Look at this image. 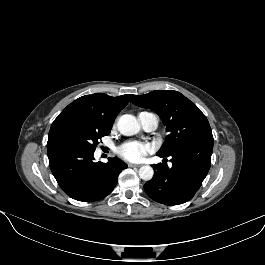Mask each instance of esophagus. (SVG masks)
<instances>
[{
  "label": "esophagus",
  "mask_w": 265,
  "mask_h": 265,
  "mask_svg": "<svg viewBox=\"0 0 265 265\" xmlns=\"http://www.w3.org/2000/svg\"><path fill=\"white\" fill-rule=\"evenodd\" d=\"M128 166L129 167H140L141 165L140 164H132V163H129Z\"/></svg>",
  "instance_id": "esophagus-1"
}]
</instances>
